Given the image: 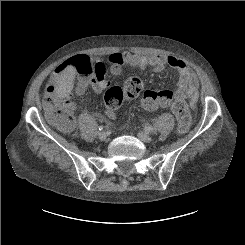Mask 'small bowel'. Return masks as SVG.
I'll return each instance as SVG.
<instances>
[{
	"label": "small bowel",
	"mask_w": 245,
	"mask_h": 245,
	"mask_svg": "<svg viewBox=\"0 0 245 245\" xmlns=\"http://www.w3.org/2000/svg\"><path fill=\"white\" fill-rule=\"evenodd\" d=\"M110 64V72L113 75H118L124 66L136 68L151 67L156 72H161L164 68L169 67L178 73V82L176 93L187 100L192 108H195L199 100L198 81L194 72L187 64L179 57L172 54H155L151 56L138 55L129 51L113 52L108 56ZM67 62L59 64L51 76L53 82L60 81L62 78H68L75 81V72L67 69ZM110 81L104 78L102 81L96 79H81L78 80L75 93L84 95L88 91L95 94L102 93L109 87ZM112 116V115H111ZM101 120H104L101 118Z\"/></svg>",
	"instance_id": "c3829d8e"
}]
</instances>
